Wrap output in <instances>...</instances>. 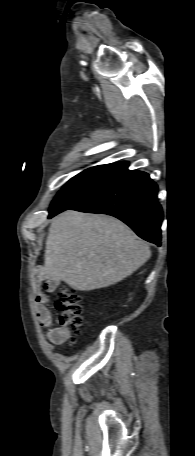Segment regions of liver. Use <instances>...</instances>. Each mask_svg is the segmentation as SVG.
<instances>
[{
  "label": "liver",
  "mask_w": 195,
  "mask_h": 456,
  "mask_svg": "<svg viewBox=\"0 0 195 456\" xmlns=\"http://www.w3.org/2000/svg\"><path fill=\"white\" fill-rule=\"evenodd\" d=\"M150 255L147 243L118 219L65 211L49 228L42 275L90 291L124 280Z\"/></svg>",
  "instance_id": "1"
}]
</instances>
